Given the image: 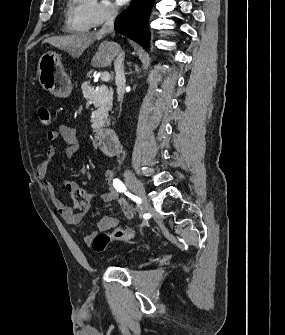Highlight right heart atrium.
Masks as SVG:
<instances>
[{"label": "right heart atrium", "mask_w": 285, "mask_h": 335, "mask_svg": "<svg viewBox=\"0 0 285 335\" xmlns=\"http://www.w3.org/2000/svg\"><path fill=\"white\" fill-rule=\"evenodd\" d=\"M87 8V20L94 28L114 21L119 15V7L113 1H91Z\"/></svg>", "instance_id": "d8ad5b80"}]
</instances>
